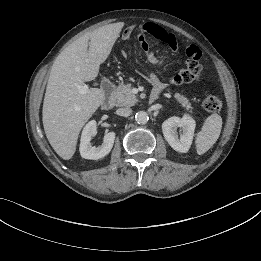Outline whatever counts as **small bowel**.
Here are the masks:
<instances>
[{
	"label": "small bowel",
	"instance_id": "c3829d8e",
	"mask_svg": "<svg viewBox=\"0 0 261 261\" xmlns=\"http://www.w3.org/2000/svg\"><path fill=\"white\" fill-rule=\"evenodd\" d=\"M132 34H130V37ZM148 36H151L164 44H166L172 52H176L178 50V44L176 37L174 34L166 31L162 27L154 24V23H145L141 26L137 39L142 48V50L146 53L147 59L155 65H162L167 60L161 57H158L154 51L151 49L150 43L148 41ZM188 60L186 64V68L178 73H174L170 76L169 81L171 84L178 85L183 82H191L197 80L202 72V68L200 65V51L196 46H189L186 50ZM149 82L154 87V92H161L166 85L162 83L159 78L155 74H151L148 77Z\"/></svg>",
	"mask_w": 261,
	"mask_h": 261
}]
</instances>
